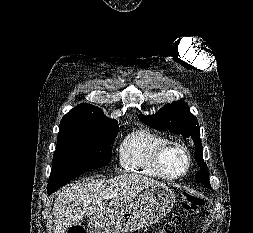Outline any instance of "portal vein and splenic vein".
Returning <instances> with one entry per match:
<instances>
[{
    "label": "portal vein and splenic vein",
    "mask_w": 253,
    "mask_h": 233,
    "mask_svg": "<svg viewBox=\"0 0 253 233\" xmlns=\"http://www.w3.org/2000/svg\"><path fill=\"white\" fill-rule=\"evenodd\" d=\"M105 199L108 200V199H110V197H109V196H106Z\"/></svg>",
    "instance_id": "1"
}]
</instances>
